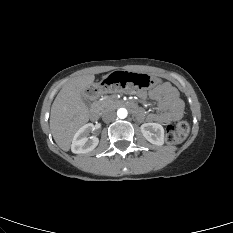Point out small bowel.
<instances>
[{
    "label": "small bowel",
    "instance_id": "1",
    "mask_svg": "<svg viewBox=\"0 0 233 233\" xmlns=\"http://www.w3.org/2000/svg\"><path fill=\"white\" fill-rule=\"evenodd\" d=\"M140 98H146L147 93L140 91ZM149 97L157 103L158 113L145 114L139 109L137 117L147 119L150 122L166 124L180 118L183 114V102L179 98L177 90L170 84L166 83L156 87L149 92Z\"/></svg>",
    "mask_w": 233,
    "mask_h": 233
}]
</instances>
